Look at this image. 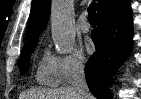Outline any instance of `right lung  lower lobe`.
Wrapping results in <instances>:
<instances>
[{"mask_svg": "<svg viewBox=\"0 0 141 99\" xmlns=\"http://www.w3.org/2000/svg\"><path fill=\"white\" fill-rule=\"evenodd\" d=\"M98 21V27L91 34L96 52L86 63L85 74L96 98L111 99L110 78L127 58L132 46L130 0H109L98 11Z\"/></svg>", "mask_w": 141, "mask_h": 99, "instance_id": "obj_1", "label": "right lung lower lobe"}]
</instances>
